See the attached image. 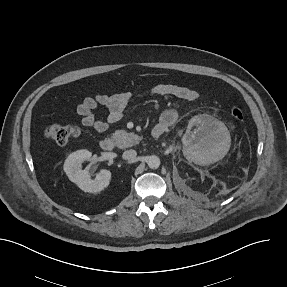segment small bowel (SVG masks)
Masks as SVG:
<instances>
[{"mask_svg":"<svg viewBox=\"0 0 287 287\" xmlns=\"http://www.w3.org/2000/svg\"><path fill=\"white\" fill-rule=\"evenodd\" d=\"M150 93L155 96H169L186 102H194L199 98V93L188 86L159 83L151 87ZM134 98V93L130 91L119 92L116 94H96L86 97L76 106V113L81 117V124L86 128H92L99 133L106 132L109 127L120 121L124 116L129 102ZM107 109L105 119H99L95 116V110L98 107ZM178 113L174 108L164 110L156 123V126L162 125L164 131L171 127L177 121Z\"/></svg>","mask_w":287,"mask_h":287,"instance_id":"obj_1","label":"small bowel"}]
</instances>
